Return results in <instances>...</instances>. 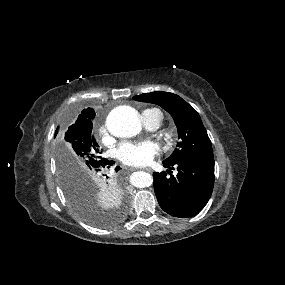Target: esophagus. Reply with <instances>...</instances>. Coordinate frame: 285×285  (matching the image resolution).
I'll return each instance as SVG.
<instances>
[{
    "mask_svg": "<svg viewBox=\"0 0 285 285\" xmlns=\"http://www.w3.org/2000/svg\"><path fill=\"white\" fill-rule=\"evenodd\" d=\"M143 170H144V171H147V172H150V173L152 172V169H151V168H148V167H147V168H143Z\"/></svg>",
    "mask_w": 285,
    "mask_h": 285,
    "instance_id": "esophagus-1",
    "label": "esophagus"
}]
</instances>
